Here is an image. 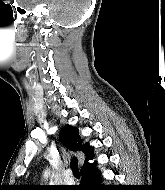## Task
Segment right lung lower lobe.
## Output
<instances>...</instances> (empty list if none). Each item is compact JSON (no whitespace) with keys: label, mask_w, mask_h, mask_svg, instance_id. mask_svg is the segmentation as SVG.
Here are the masks:
<instances>
[{"label":"right lung lower lobe","mask_w":165,"mask_h":190,"mask_svg":"<svg viewBox=\"0 0 165 190\" xmlns=\"http://www.w3.org/2000/svg\"><path fill=\"white\" fill-rule=\"evenodd\" d=\"M79 190H112L109 186L99 184L100 176L94 164L82 168Z\"/></svg>","instance_id":"98d812e1"}]
</instances>
